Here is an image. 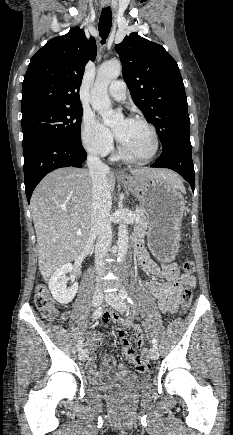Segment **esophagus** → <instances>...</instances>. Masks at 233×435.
I'll return each mask as SVG.
<instances>
[{
    "label": "esophagus",
    "instance_id": "obj_1",
    "mask_svg": "<svg viewBox=\"0 0 233 435\" xmlns=\"http://www.w3.org/2000/svg\"><path fill=\"white\" fill-rule=\"evenodd\" d=\"M109 4H110V1H109V0H102V6H103V7H107V6H109ZM117 173L120 174L121 172H120V171H117Z\"/></svg>",
    "mask_w": 233,
    "mask_h": 435
}]
</instances>
